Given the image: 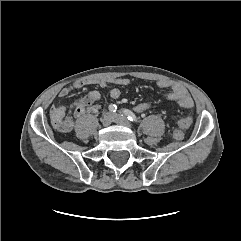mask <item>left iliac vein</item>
Listing matches in <instances>:
<instances>
[{
    "label": "left iliac vein",
    "mask_w": 241,
    "mask_h": 241,
    "mask_svg": "<svg viewBox=\"0 0 241 241\" xmlns=\"http://www.w3.org/2000/svg\"><path fill=\"white\" fill-rule=\"evenodd\" d=\"M114 122L119 124V125H123V126H126L128 128H131L130 122L123 115L115 114L114 115Z\"/></svg>",
    "instance_id": "1"
}]
</instances>
